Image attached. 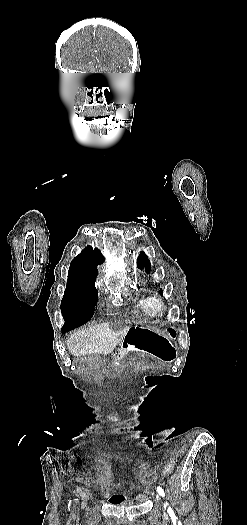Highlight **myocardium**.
Segmentation results:
<instances>
[{"label":"myocardium","mask_w":247,"mask_h":525,"mask_svg":"<svg viewBox=\"0 0 247 525\" xmlns=\"http://www.w3.org/2000/svg\"><path fill=\"white\" fill-rule=\"evenodd\" d=\"M149 309L154 314H160L165 308V303L162 297L158 294L148 296Z\"/></svg>","instance_id":"obj_1"}]
</instances>
